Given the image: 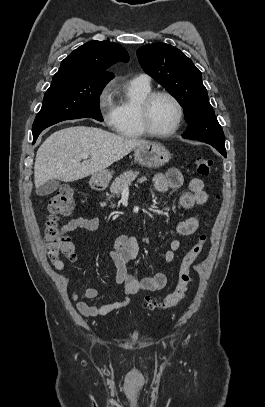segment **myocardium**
<instances>
[{
  "mask_svg": "<svg viewBox=\"0 0 265 407\" xmlns=\"http://www.w3.org/2000/svg\"><path fill=\"white\" fill-rule=\"evenodd\" d=\"M160 96H166L170 98L175 103L178 110V117L175 125L170 130L165 132L155 130L152 127L150 121L151 106L155 99ZM138 117L142 129L147 135L157 138H167L174 135L180 129L184 119V107L178 97L175 96L173 93L166 90L154 91L147 95L141 102L138 110Z\"/></svg>",
  "mask_w": 265,
  "mask_h": 407,
  "instance_id": "f54148a6",
  "label": "myocardium"
}]
</instances>
